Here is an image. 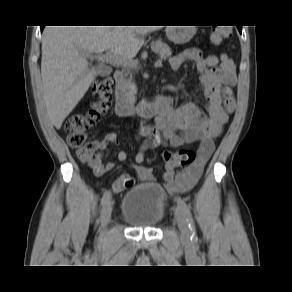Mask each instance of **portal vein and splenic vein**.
<instances>
[{"mask_svg": "<svg viewBox=\"0 0 292 292\" xmlns=\"http://www.w3.org/2000/svg\"><path fill=\"white\" fill-rule=\"evenodd\" d=\"M99 61L110 63V64H131L132 66H136L137 62L133 61L131 57H118L110 52H107L105 54L103 53H97L95 56ZM155 67H161L162 66V60L159 59L154 64Z\"/></svg>", "mask_w": 292, "mask_h": 292, "instance_id": "18ae733b", "label": "portal vein and splenic vein"}]
</instances>
